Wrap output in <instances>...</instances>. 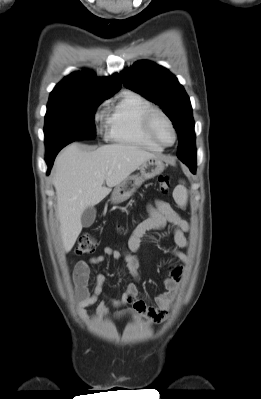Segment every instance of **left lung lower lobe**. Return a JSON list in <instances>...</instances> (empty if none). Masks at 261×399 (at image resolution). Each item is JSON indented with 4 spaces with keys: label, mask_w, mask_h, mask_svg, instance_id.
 <instances>
[{
    "label": "left lung lower lobe",
    "mask_w": 261,
    "mask_h": 399,
    "mask_svg": "<svg viewBox=\"0 0 261 399\" xmlns=\"http://www.w3.org/2000/svg\"><path fill=\"white\" fill-rule=\"evenodd\" d=\"M182 162L185 163L189 167L190 171L193 174H195V172H196V162L195 161H182Z\"/></svg>",
    "instance_id": "obj_1"
}]
</instances>
